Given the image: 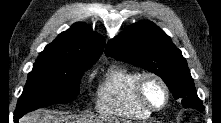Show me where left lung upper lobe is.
Wrapping results in <instances>:
<instances>
[{"label":"left lung upper lobe","mask_w":221,"mask_h":123,"mask_svg":"<svg viewBox=\"0 0 221 123\" xmlns=\"http://www.w3.org/2000/svg\"><path fill=\"white\" fill-rule=\"evenodd\" d=\"M105 54L160 76L185 108L203 110L187 62L171 38L151 21H140L109 40Z\"/></svg>","instance_id":"obj_1"}]
</instances>
